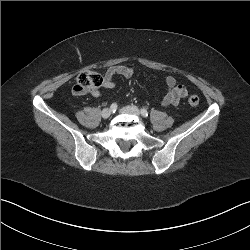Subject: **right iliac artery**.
<instances>
[{
	"instance_id": "right-iliac-artery-1",
	"label": "right iliac artery",
	"mask_w": 250,
	"mask_h": 250,
	"mask_svg": "<svg viewBox=\"0 0 250 250\" xmlns=\"http://www.w3.org/2000/svg\"><path fill=\"white\" fill-rule=\"evenodd\" d=\"M118 105L116 103L111 104L110 109L115 112L117 109Z\"/></svg>"
}]
</instances>
